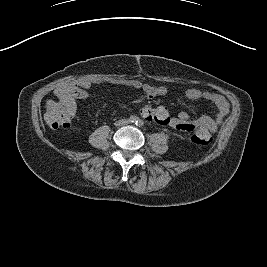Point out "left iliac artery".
I'll use <instances>...</instances> for the list:
<instances>
[{
  "instance_id": "left-iliac-artery-1",
  "label": "left iliac artery",
  "mask_w": 267,
  "mask_h": 267,
  "mask_svg": "<svg viewBox=\"0 0 267 267\" xmlns=\"http://www.w3.org/2000/svg\"><path fill=\"white\" fill-rule=\"evenodd\" d=\"M143 124H144V121H143V120H138L137 123H136V125H137L138 127L143 126Z\"/></svg>"
}]
</instances>
